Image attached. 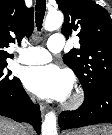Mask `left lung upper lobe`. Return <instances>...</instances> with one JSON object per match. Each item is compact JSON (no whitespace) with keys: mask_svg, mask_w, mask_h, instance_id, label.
I'll use <instances>...</instances> for the list:
<instances>
[{"mask_svg":"<svg viewBox=\"0 0 112 135\" xmlns=\"http://www.w3.org/2000/svg\"><path fill=\"white\" fill-rule=\"evenodd\" d=\"M65 21L62 33L76 32L80 49L73 48L63 59L84 89L112 83V19L106 9L91 0H56Z\"/></svg>","mask_w":112,"mask_h":135,"instance_id":"1","label":"left lung upper lobe"}]
</instances>
